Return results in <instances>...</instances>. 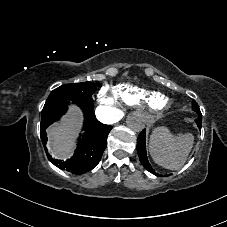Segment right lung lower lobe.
Wrapping results in <instances>:
<instances>
[{
  "label": "right lung lower lobe",
  "mask_w": 227,
  "mask_h": 227,
  "mask_svg": "<svg viewBox=\"0 0 227 227\" xmlns=\"http://www.w3.org/2000/svg\"><path fill=\"white\" fill-rule=\"evenodd\" d=\"M84 112V133L78 142L74 155L66 161L56 160L47 153L46 128L59 120L65 114L69 102L64 100L50 106L45 113L42 114L40 124V136L45 147L47 157L54 165L62 170L75 174H83L92 170L101 160L102 154L107 146V136L112 129L99 122L95 114L92 112L94 105L92 102H75Z\"/></svg>",
  "instance_id": "98d812e1"
}]
</instances>
